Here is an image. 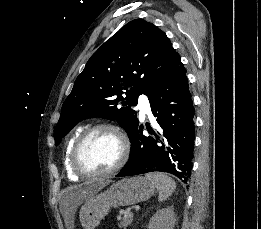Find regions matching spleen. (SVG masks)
<instances>
[{"label":"spleen","instance_id":"1","mask_svg":"<svg viewBox=\"0 0 261 229\" xmlns=\"http://www.w3.org/2000/svg\"><path fill=\"white\" fill-rule=\"evenodd\" d=\"M145 177L149 181H153L156 189H158V201H166L176 189V183L171 177H168V173H146Z\"/></svg>","mask_w":261,"mask_h":229}]
</instances>
